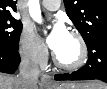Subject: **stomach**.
Returning a JSON list of instances; mask_svg holds the SVG:
<instances>
[{
	"label": "stomach",
	"instance_id": "stomach-1",
	"mask_svg": "<svg viewBox=\"0 0 107 89\" xmlns=\"http://www.w3.org/2000/svg\"><path fill=\"white\" fill-rule=\"evenodd\" d=\"M49 89H81V87L73 83H65V84L55 85Z\"/></svg>",
	"mask_w": 107,
	"mask_h": 89
}]
</instances>
